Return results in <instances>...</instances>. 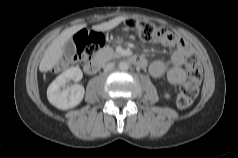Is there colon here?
I'll return each instance as SVG.
<instances>
[{"mask_svg": "<svg viewBox=\"0 0 238 158\" xmlns=\"http://www.w3.org/2000/svg\"><path fill=\"white\" fill-rule=\"evenodd\" d=\"M125 25L128 29L136 32L145 42L155 43L170 38L172 33L166 27L158 26L153 23L127 19ZM76 53L72 60L84 61L104 44V37L101 33L80 31L74 37ZM68 61L64 58L58 65L57 70L63 69ZM186 66L189 73V80L180 87L177 96V105L180 108L189 107L199 93L200 83L202 80V67L197 56L191 53L187 56Z\"/></svg>", "mask_w": 238, "mask_h": 158, "instance_id": "obj_1", "label": "colon"}]
</instances>
